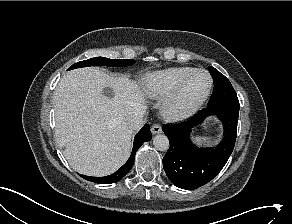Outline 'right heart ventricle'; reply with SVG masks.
<instances>
[{
	"instance_id": "obj_1",
	"label": "right heart ventricle",
	"mask_w": 292,
	"mask_h": 224,
	"mask_svg": "<svg viewBox=\"0 0 292 224\" xmlns=\"http://www.w3.org/2000/svg\"><path fill=\"white\" fill-rule=\"evenodd\" d=\"M194 70L193 67H172L150 73L144 80L145 92L152 98L166 97L186 75Z\"/></svg>"
}]
</instances>
